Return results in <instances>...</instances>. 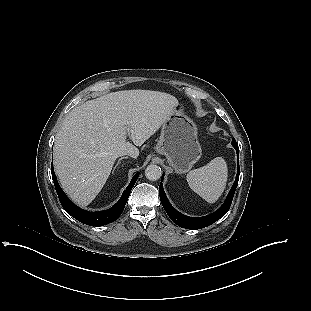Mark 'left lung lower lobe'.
<instances>
[{"instance_id":"obj_1","label":"left lung lower lobe","mask_w":311,"mask_h":311,"mask_svg":"<svg viewBox=\"0 0 311 311\" xmlns=\"http://www.w3.org/2000/svg\"><path fill=\"white\" fill-rule=\"evenodd\" d=\"M232 145L237 151V156H238V170H237V176L236 180L234 181V184L224 202V204L214 213L207 215L205 217H189L186 215H183L176 211L171 204L169 203L165 192L163 190L162 182L160 183L159 186V194H160V200L162 202L163 208L165 209L166 213L168 216L171 218V220L177 224L178 226L182 228H188V229H201L204 227H207L214 222H216L218 219L223 217L227 211L229 210L232 199L236 190V187L238 185V179H239V148L238 145L236 144L235 139L232 140ZM163 180V176H162Z\"/></svg>"}]
</instances>
